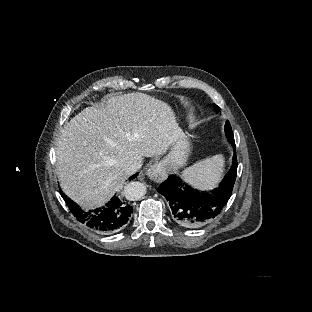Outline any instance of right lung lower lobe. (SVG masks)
I'll return each mask as SVG.
<instances>
[{"label":"right lung lower lobe","instance_id":"1","mask_svg":"<svg viewBox=\"0 0 312 312\" xmlns=\"http://www.w3.org/2000/svg\"><path fill=\"white\" fill-rule=\"evenodd\" d=\"M137 177V174L131 179ZM60 193L76 219L89 229L101 234H112L124 228L133 213L127 200L114 196L105 206L88 212L79 208L73 201Z\"/></svg>","mask_w":312,"mask_h":312}]
</instances>
